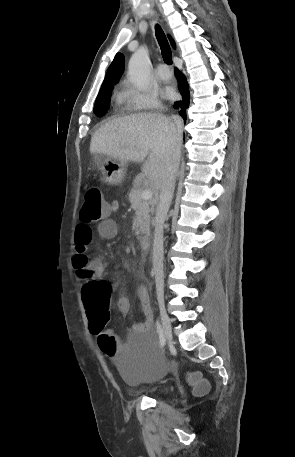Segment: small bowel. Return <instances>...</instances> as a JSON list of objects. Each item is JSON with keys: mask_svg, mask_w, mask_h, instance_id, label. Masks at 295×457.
Returning <instances> with one entry per match:
<instances>
[{"mask_svg": "<svg viewBox=\"0 0 295 457\" xmlns=\"http://www.w3.org/2000/svg\"><path fill=\"white\" fill-rule=\"evenodd\" d=\"M119 202L117 200L112 201L108 204L109 215L102 220L98 226L97 231L103 240H112L117 236L118 227L110 217V214L119 210ZM92 241V229L88 226L79 224L75 232V249L77 251L86 252L88 245ZM89 270L93 273L94 280H100V277L104 273V262L101 258L97 257L89 262ZM103 281V280H101ZM138 298L141 304L142 311L144 313V321L137 323L133 326V331L136 334L141 335L143 338H155L152 325H153V312L150 304V297L147 288L144 285H140L137 290ZM118 311L122 315H127L131 309V302L128 296L123 295L117 300Z\"/></svg>", "mask_w": 295, "mask_h": 457, "instance_id": "c3829d8e", "label": "small bowel"}]
</instances>
